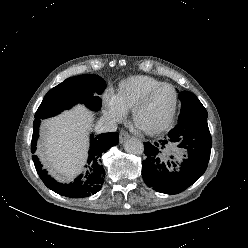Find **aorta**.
I'll use <instances>...</instances> for the list:
<instances>
[{
  "label": "aorta",
  "mask_w": 248,
  "mask_h": 248,
  "mask_svg": "<svg viewBox=\"0 0 248 248\" xmlns=\"http://www.w3.org/2000/svg\"><path fill=\"white\" fill-rule=\"evenodd\" d=\"M124 149L129 154L140 155L144 151V145L139 139L130 138L124 142Z\"/></svg>",
  "instance_id": "1"
}]
</instances>
